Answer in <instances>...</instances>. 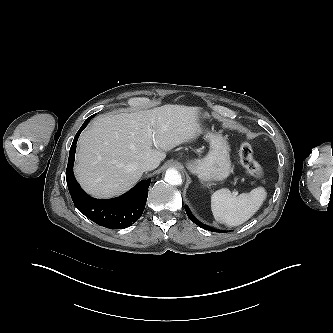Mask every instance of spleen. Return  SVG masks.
<instances>
[{"instance_id":"1","label":"spleen","mask_w":333,"mask_h":333,"mask_svg":"<svg viewBox=\"0 0 333 333\" xmlns=\"http://www.w3.org/2000/svg\"><path fill=\"white\" fill-rule=\"evenodd\" d=\"M263 187L234 196L229 189L215 191L211 196V210L215 220L229 226H238L249 220L266 199Z\"/></svg>"}]
</instances>
